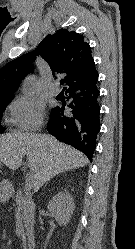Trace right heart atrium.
I'll return each instance as SVG.
<instances>
[{
  "label": "right heart atrium",
  "instance_id": "d8ad5b80",
  "mask_svg": "<svg viewBox=\"0 0 135 249\" xmlns=\"http://www.w3.org/2000/svg\"><path fill=\"white\" fill-rule=\"evenodd\" d=\"M11 122L18 132L38 130L44 119L43 105L32 97L18 96L9 106Z\"/></svg>",
  "mask_w": 135,
  "mask_h": 249
}]
</instances>
